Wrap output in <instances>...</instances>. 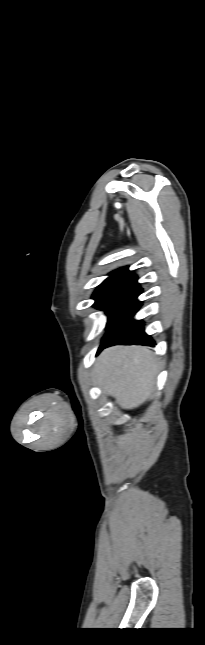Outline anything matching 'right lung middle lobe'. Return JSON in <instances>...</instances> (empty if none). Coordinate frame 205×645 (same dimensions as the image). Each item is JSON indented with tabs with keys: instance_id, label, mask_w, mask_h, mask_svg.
<instances>
[{
	"instance_id": "1",
	"label": "right lung middle lobe",
	"mask_w": 205,
	"mask_h": 645,
	"mask_svg": "<svg viewBox=\"0 0 205 645\" xmlns=\"http://www.w3.org/2000/svg\"><path fill=\"white\" fill-rule=\"evenodd\" d=\"M140 293L141 291H124L94 304L96 308L104 310L108 316V333L101 345L132 320L133 315L142 305V302L137 300Z\"/></svg>"
}]
</instances>
